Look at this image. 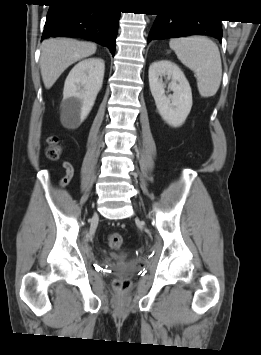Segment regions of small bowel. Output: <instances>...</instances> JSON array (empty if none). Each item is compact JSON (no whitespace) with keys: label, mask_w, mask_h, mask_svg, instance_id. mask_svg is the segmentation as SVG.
Here are the masks:
<instances>
[{"label":"small bowel","mask_w":261,"mask_h":355,"mask_svg":"<svg viewBox=\"0 0 261 355\" xmlns=\"http://www.w3.org/2000/svg\"><path fill=\"white\" fill-rule=\"evenodd\" d=\"M63 167L65 168L66 172H67L68 170H70V171L72 172V174H73V168H72V166H71V164H70L69 162L64 161V162H63Z\"/></svg>","instance_id":"c3829d8e"}]
</instances>
